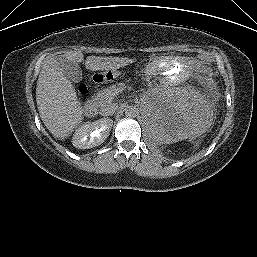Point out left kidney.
Segmentation results:
<instances>
[{
  "instance_id": "left-kidney-1",
  "label": "left kidney",
  "mask_w": 257,
  "mask_h": 257,
  "mask_svg": "<svg viewBox=\"0 0 257 257\" xmlns=\"http://www.w3.org/2000/svg\"><path fill=\"white\" fill-rule=\"evenodd\" d=\"M143 118L148 133L161 144L193 139L209 127L206 101L198 93L181 88L149 97L144 104Z\"/></svg>"
}]
</instances>
